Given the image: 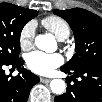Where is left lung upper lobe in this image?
I'll use <instances>...</instances> for the list:
<instances>
[{
	"mask_svg": "<svg viewBox=\"0 0 102 102\" xmlns=\"http://www.w3.org/2000/svg\"><path fill=\"white\" fill-rule=\"evenodd\" d=\"M53 12L69 23L75 36L76 54L62 68L102 66V19L80 8Z\"/></svg>",
	"mask_w": 102,
	"mask_h": 102,
	"instance_id": "1",
	"label": "left lung upper lobe"
}]
</instances>
